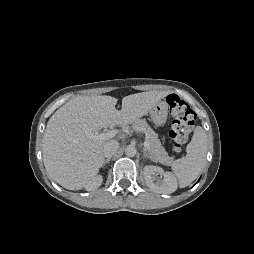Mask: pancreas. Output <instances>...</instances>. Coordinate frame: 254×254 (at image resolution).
<instances>
[{
    "label": "pancreas",
    "mask_w": 254,
    "mask_h": 254,
    "mask_svg": "<svg viewBox=\"0 0 254 254\" xmlns=\"http://www.w3.org/2000/svg\"><path fill=\"white\" fill-rule=\"evenodd\" d=\"M132 129L145 134L146 140L149 142V147L147 149L155 162H159L164 165H170L172 163L173 157L168 156L158 139V135L145 120L138 119L134 121L132 123Z\"/></svg>",
    "instance_id": "pancreas-1"
}]
</instances>
